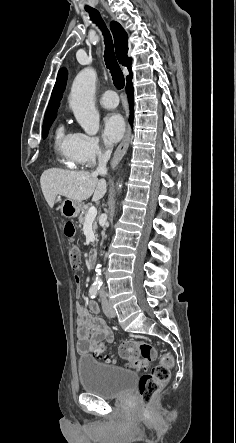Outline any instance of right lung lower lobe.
<instances>
[{
  "label": "right lung lower lobe",
  "mask_w": 236,
  "mask_h": 443,
  "mask_svg": "<svg viewBox=\"0 0 236 443\" xmlns=\"http://www.w3.org/2000/svg\"><path fill=\"white\" fill-rule=\"evenodd\" d=\"M126 90H127V94H128L129 106L131 109L129 121H130V124L132 125L133 124V116H134V95H133L134 89H133V84H132V72L127 76Z\"/></svg>",
  "instance_id": "98d812e1"
}]
</instances>
